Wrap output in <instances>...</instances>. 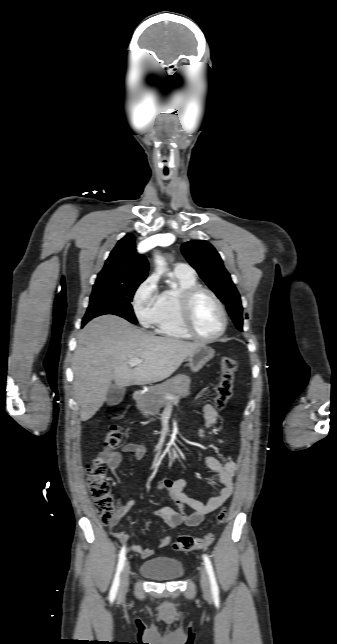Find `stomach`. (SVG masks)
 Segmentation results:
<instances>
[{"label": "stomach", "instance_id": "0dacf381", "mask_svg": "<svg viewBox=\"0 0 337 644\" xmlns=\"http://www.w3.org/2000/svg\"><path fill=\"white\" fill-rule=\"evenodd\" d=\"M215 351L213 348L202 345L193 354L188 356V363L193 372L199 371L209 360L214 357Z\"/></svg>", "mask_w": 337, "mask_h": 644}]
</instances>
